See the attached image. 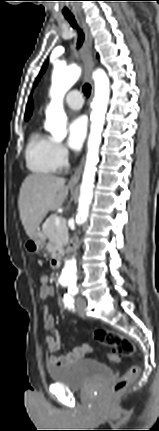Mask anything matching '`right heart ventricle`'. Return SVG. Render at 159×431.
Returning <instances> with one entry per match:
<instances>
[{
  "label": "right heart ventricle",
  "mask_w": 159,
  "mask_h": 431,
  "mask_svg": "<svg viewBox=\"0 0 159 431\" xmlns=\"http://www.w3.org/2000/svg\"><path fill=\"white\" fill-rule=\"evenodd\" d=\"M52 140L41 132L33 131L28 139L25 159L28 169L38 174H52L58 170L53 158Z\"/></svg>",
  "instance_id": "e07e8e85"
}]
</instances>
